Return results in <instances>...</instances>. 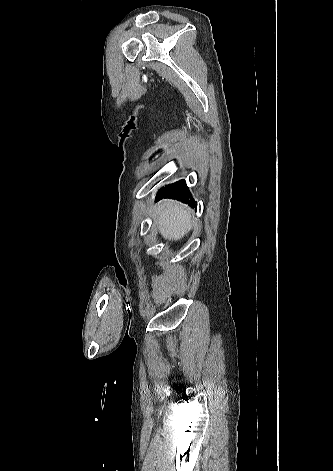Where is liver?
<instances>
[{
	"instance_id": "liver-1",
	"label": "liver",
	"mask_w": 333,
	"mask_h": 471,
	"mask_svg": "<svg viewBox=\"0 0 333 471\" xmlns=\"http://www.w3.org/2000/svg\"><path fill=\"white\" fill-rule=\"evenodd\" d=\"M155 223L165 239L177 241L191 230V213L183 205L165 200L155 209Z\"/></svg>"
}]
</instances>
